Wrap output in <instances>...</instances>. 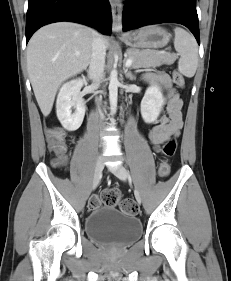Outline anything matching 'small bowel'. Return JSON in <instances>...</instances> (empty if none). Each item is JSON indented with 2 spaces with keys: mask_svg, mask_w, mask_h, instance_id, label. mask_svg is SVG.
<instances>
[{
  "mask_svg": "<svg viewBox=\"0 0 231 281\" xmlns=\"http://www.w3.org/2000/svg\"><path fill=\"white\" fill-rule=\"evenodd\" d=\"M143 81L149 85L161 86L166 92L167 116H161L158 124H154L148 133L155 151L171 136L179 135L183 127V101L172 87L168 75L164 73H146Z\"/></svg>",
  "mask_w": 231,
  "mask_h": 281,
  "instance_id": "1",
  "label": "small bowel"
}]
</instances>
